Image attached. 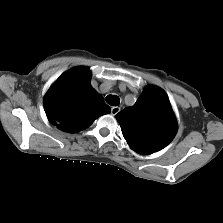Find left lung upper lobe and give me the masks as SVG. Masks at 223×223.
<instances>
[{
    "mask_svg": "<svg viewBox=\"0 0 223 223\" xmlns=\"http://www.w3.org/2000/svg\"><path fill=\"white\" fill-rule=\"evenodd\" d=\"M116 119L131 149L144 155L167 146L177 130L169 98L156 86L145 87L136 103L119 112Z\"/></svg>",
    "mask_w": 223,
    "mask_h": 223,
    "instance_id": "obj_1",
    "label": "left lung upper lobe"
}]
</instances>
